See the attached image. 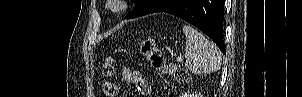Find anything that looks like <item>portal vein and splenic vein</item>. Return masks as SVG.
<instances>
[{
	"mask_svg": "<svg viewBox=\"0 0 302 97\" xmlns=\"http://www.w3.org/2000/svg\"><path fill=\"white\" fill-rule=\"evenodd\" d=\"M182 61H183L182 57H177V62H182Z\"/></svg>",
	"mask_w": 302,
	"mask_h": 97,
	"instance_id": "18ae733b",
	"label": "portal vein and splenic vein"
}]
</instances>
